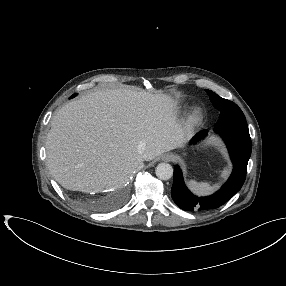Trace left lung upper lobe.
<instances>
[{
    "label": "left lung upper lobe",
    "mask_w": 286,
    "mask_h": 286,
    "mask_svg": "<svg viewBox=\"0 0 286 286\" xmlns=\"http://www.w3.org/2000/svg\"><path fill=\"white\" fill-rule=\"evenodd\" d=\"M215 108L220 111L219 119L223 118H240L246 119L241 109L232 101L218 96L211 90H205Z\"/></svg>",
    "instance_id": "left-lung-upper-lobe-1"
}]
</instances>
